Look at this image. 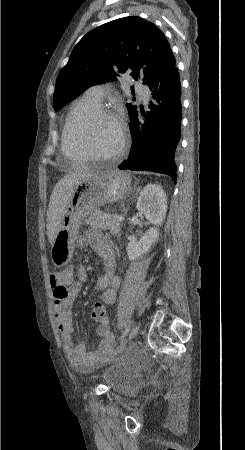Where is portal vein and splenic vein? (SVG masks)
Listing matches in <instances>:
<instances>
[{
    "label": "portal vein and splenic vein",
    "mask_w": 245,
    "mask_h": 450,
    "mask_svg": "<svg viewBox=\"0 0 245 450\" xmlns=\"http://www.w3.org/2000/svg\"><path fill=\"white\" fill-rule=\"evenodd\" d=\"M113 218H114L116 221H119V222H122V221L124 220V217H123V216H120V215H117V214H114V215H113Z\"/></svg>",
    "instance_id": "18ae733b"
}]
</instances>
